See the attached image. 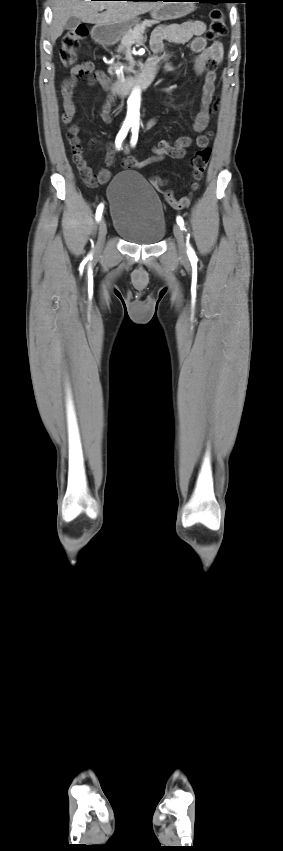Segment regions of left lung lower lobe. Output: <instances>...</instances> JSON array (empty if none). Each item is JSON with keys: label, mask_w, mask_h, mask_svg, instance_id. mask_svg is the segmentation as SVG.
<instances>
[{"label": "left lung lower lobe", "mask_w": 283, "mask_h": 851, "mask_svg": "<svg viewBox=\"0 0 283 851\" xmlns=\"http://www.w3.org/2000/svg\"><path fill=\"white\" fill-rule=\"evenodd\" d=\"M198 1H199V2H211V3H218V2H222V0H198Z\"/></svg>", "instance_id": "obj_1"}]
</instances>
